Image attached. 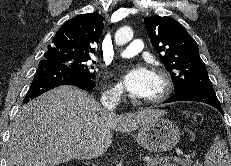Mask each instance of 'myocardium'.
I'll list each match as a JSON object with an SVG mask.
<instances>
[{
  "label": "myocardium",
  "mask_w": 231,
  "mask_h": 166,
  "mask_svg": "<svg viewBox=\"0 0 231 166\" xmlns=\"http://www.w3.org/2000/svg\"><path fill=\"white\" fill-rule=\"evenodd\" d=\"M154 74L159 80L160 87L156 94L151 97H146L144 99V102L149 104H155L163 101L169 96L172 90V78L166 70L162 68H157L154 70Z\"/></svg>",
  "instance_id": "1"
}]
</instances>
